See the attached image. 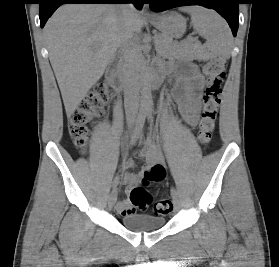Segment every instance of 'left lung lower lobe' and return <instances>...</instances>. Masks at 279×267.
I'll return each instance as SVG.
<instances>
[{"mask_svg": "<svg viewBox=\"0 0 279 267\" xmlns=\"http://www.w3.org/2000/svg\"><path fill=\"white\" fill-rule=\"evenodd\" d=\"M153 11H163L178 6L203 5L217 10L228 22L234 36L239 25V0H149Z\"/></svg>", "mask_w": 279, "mask_h": 267, "instance_id": "1", "label": "left lung lower lobe"}]
</instances>
